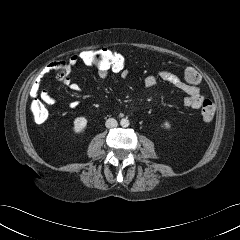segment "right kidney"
<instances>
[{
  "label": "right kidney",
  "mask_w": 240,
  "mask_h": 240,
  "mask_svg": "<svg viewBox=\"0 0 240 240\" xmlns=\"http://www.w3.org/2000/svg\"><path fill=\"white\" fill-rule=\"evenodd\" d=\"M87 122L88 121L85 117H77L74 120V126H73L74 133H76V134L83 133L87 126Z\"/></svg>",
  "instance_id": "ca27d5eb"
}]
</instances>
